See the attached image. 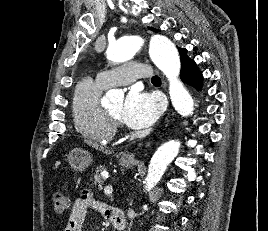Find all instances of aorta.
Instances as JSON below:
<instances>
[{
	"label": "aorta",
	"instance_id": "aorta-1",
	"mask_svg": "<svg viewBox=\"0 0 268 231\" xmlns=\"http://www.w3.org/2000/svg\"><path fill=\"white\" fill-rule=\"evenodd\" d=\"M142 45L138 36L123 37L110 44L107 58L113 63H121L132 59ZM149 55L154 64L165 74L169 81V94L175 110L182 116L193 114V99L179 80L180 57L175 45L167 37L155 35L150 40ZM124 93L113 89L106 93V100H122ZM180 148L178 140H170L162 144L153 154L145 178V189L151 190L162 178L168 165L177 156Z\"/></svg>",
	"mask_w": 268,
	"mask_h": 231
}]
</instances>
